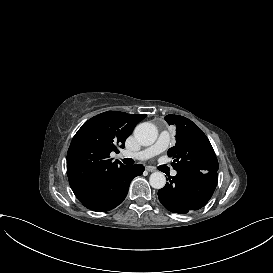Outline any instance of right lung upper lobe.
Returning <instances> with one entry per match:
<instances>
[{
  "label": "right lung upper lobe",
  "instance_id": "obj_1",
  "mask_svg": "<svg viewBox=\"0 0 273 273\" xmlns=\"http://www.w3.org/2000/svg\"><path fill=\"white\" fill-rule=\"evenodd\" d=\"M147 115L107 111L85 122L67 152L69 184L77 198L94 190L110 173L125 165L109 159Z\"/></svg>",
  "mask_w": 273,
  "mask_h": 273
}]
</instances>
